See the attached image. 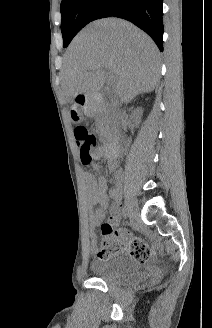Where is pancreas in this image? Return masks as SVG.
I'll list each match as a JSON object with an SVG mask.
<instances>
[{"mask_svg": "<svg viewBox=\"0 0 212 328\" xmlns=\"http://www.w3.org/2000/svg\"><path fill=\"white\" fill-rule=\"evenodd\" d=\"M95 124L100 134L106 133L110 128V115L103 109H99L96 115Z\"/></svg>", "mask_w": 212, "mask_h": 328, "instance_id": "pancreas-1", "label": "pancreas"}]
</instances>
